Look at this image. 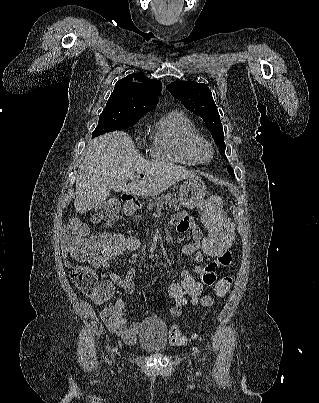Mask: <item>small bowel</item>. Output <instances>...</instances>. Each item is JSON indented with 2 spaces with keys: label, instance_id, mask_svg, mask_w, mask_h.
<instances>
[{
  "label": "small bowel",
  "instance_id": "small-bowel-1",
  "mask_svg": "<svg viewBox=\"0 0 319 403\" xmlns=\"http://www.w3.org/2000/svg\"><path fill=\"white\" fill-rule=\"evenodd\" d=\"M170 224L175 226L178 232H189L192 237V241L182 246L181 252L184 255H194L195 264L196 259L199 258L200 250L202 249V243L205 236L201 228L194 222L193 218L187 213L175 214ZM88 238V237H87ZM139 241V240H138ZM140 246V242H139ZM70 255L67 249L64 250L65 266L73 270H91L93 268L97 271H104L101 279L98 280V285L93 286L91 292L92 300H101L102 304H108L109 300L114 299L116 293V286L127 294H133L135 292L134 276L136 274V268L130 267L124 276H119L114 273L106 272L109 267V263L114 258H98L90 259L85 262L88 266H75L67 257ZM233 252L231 249H224L217 258V263L211 264L210 267H205V271L202 274V283L204 286H211L218 276L219 271L223 270L227 264L230 263ZM92 271V270H91ZM181 275H190L189 270H183ZM109 282L115 285H109ZM175 291H168V297L172 304L175 300ZM191 304H201L203 306H212L214 301L211 296H197L196 300H188ZM125 301L122 298L116 299L114 304L105 307L101 311V318L109 328L110 335H117L123 342L127 344H133L137 341L138 333L140 332V325L138 323L129 324L124 314ZM183 309L174 310L173 305L171 308V314L175 317L181 314Z\"/></svg>",
  "mask_w": 319,
  "mask_h": 403
}]
</instances>
